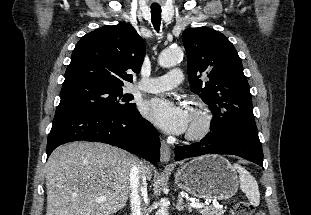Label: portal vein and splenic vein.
<instances>
[{"label":"portal vein and splenic vein","mask_w":311,"mask_h":215,"mask_svg":"<svg viewBox=\"0 0 311 215\" xmlns=\"http://www.w3.org/2000/svg\"><path fill=\"white\" fill-rule=\"evenodd\" d=\"M104 200H105V197L99 198V201H104ZM206 204H208V203H206ZM190 206L193 208H202L204 206V204L198 203V202H192V203H190Z\"/></svg>","instance_id":"1"}]
</instances>
